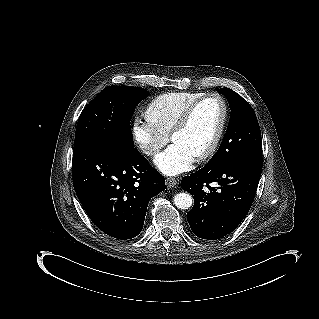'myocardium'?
<instances>
[{"label": "myocardium", "instance_id": "f54148a6", "mask_svg": "<svg viewBox=\"0 0 319 319\" xmlns=\"http://www.w3.org/2000/svg\"><path fill=\"white\" fill-rule=\"evenodd\" d=\"M209 100H214L218 103L219 105V120L218 124L216 127V130L210 140V142L206 145L205 148H203L201 151L194 153L197 159H203L207 157L210 153L213 152V150L216 148L221 135L224 130L225 122H226V114H227V109H226V104L223 100V98L218 95V94H209L198 101H196L192 106H190L179 118V120L176 122L172 129L171 137L172 139L175 137V135L184 127V125L187 123L189 120L191 114L193 111L202 103L209 101Z\"/></svg>", "mask_w": 319, "mask_h": 319}]
</instances>
